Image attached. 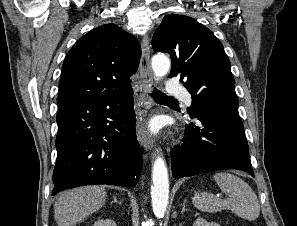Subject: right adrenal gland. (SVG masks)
Wrapping results in <instances>:
<instances>
[{"instance_id": "obj_1", "label": "right adrenal gland", "mask_w": 297, "mask_h": 226, "mask_svg": "<svg viewBox=\"0 0 297 226\" xmlns=\"http://www.w3.org/2000/svg\"><path fill=\"white\" fill-rule=\"evenodd\" d=\"M113 202H115V203H118V204H120V205H121V202H120V201H118V200H117V198H116L115 196L113 197Z\"/></svg>"}]
</instances>
